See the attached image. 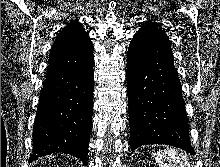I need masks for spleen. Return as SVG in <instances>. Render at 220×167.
<instances>
[{"instance_id":"obj_1","label":"spleen","mask_w":220,"mask_h":167,"mask_svg":"<svg viewBox=\"0 0 220 167\" xmlns=\"http://www.w3.org/2000/svg\"><path fill=\"white\" fill-rule=\"evenodd\" d=\"M160 167H190L186 154L174 148H166L153 154Z\"/></svg>"}]
</instances>
